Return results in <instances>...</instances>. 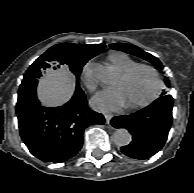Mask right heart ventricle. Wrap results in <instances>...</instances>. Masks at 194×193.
<instances>
[{
	"instance_id": "right-heart-ventricle-1",
	"label": "right heart ventricle",
	"mask_w": 194,
	"mask_h": 193,
	"mask_svg": "<svg viewBox=\"0 0 194 193\" xmlns=\"http://www.w3.org/2000/svg\"><path fill=\"white\" fill-rule=\"evenodd\" d=\"M108 59L111 65L115 67L120 73L137 64V62L130 58L127 54L121 52L109 55Z\"/></svg>"
}]
</instances>
